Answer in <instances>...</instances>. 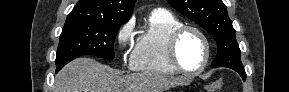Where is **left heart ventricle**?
Listing matches in <instances>:
<instances>
[{"label": "left heart ventricle", "instance_id": "b2bd125f", "mask_svg": "<svg viewBox=\"0 0 289 92\" xmlns=\"http://www.w3.org/2000/svg\"><path fill=\"white\" fill-rule=\"evenodd\" d=\"M204 54L205 47L201 38L193 32L185 33L178 45L181 65L187 70H195L201 66Z\"/></svg>", "mask_w": 289, "mask_h": 92}]
</instances>
